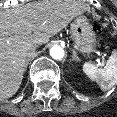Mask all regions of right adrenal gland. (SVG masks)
I'll return each instance as SVG.
<instances>
[{"label": "right adrenal gland", "instance_id": "right-adrenal-gland-1", "mask_svg": "<svg viewBox=\"0 0 117 117\" xmlns=\"http://www.w3.org/2000/svg\"><path fill=\"white\" fill-rule=\"evenodd\" d=\"M29 61H30V56H28V58L26 60V63H25V66H24V71H26Z\"/></svg>", "mask_w": 117, "mask_h": 117}]
</instances>
